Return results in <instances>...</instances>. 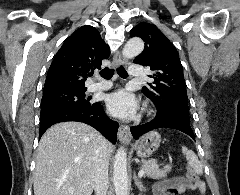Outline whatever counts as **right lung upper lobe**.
Wrapping results in <instances>:
<instances>
[{"mask_svg":"<svg viewBox=\"0 0 240 195\" xmlns=\"http://www.w3.org/2000/svg\"><path fill=\"white\" fill-rule=\"evenodd\" d=\"M109 55V47L93 26L80 27L64 42L51 63L43 95L86 89L89 71L100 69L102 60Z\"/></svg>","mask_w":240,"mask_h":195,"instance_id":"cb5924a9","label":"right lung upper lobe"}]
</instances>
